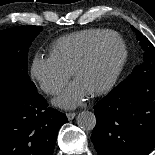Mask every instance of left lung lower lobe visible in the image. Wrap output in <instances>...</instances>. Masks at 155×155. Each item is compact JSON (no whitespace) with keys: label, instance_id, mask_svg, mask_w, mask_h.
I'll list each match as a JSON object with an SVG mask.
<instances>
[{"label":"left lung lower lobe","instance_id":"0a47b994","mask_svg":"<svg viewBox=\"0 0 155 155\" xmlns=\"http://www.w3.org/2000/svg\"><path fill=\"white\" fill-rule=\"evenodd\" d=\"M100 155H148L155 147V69L125 79L94 106Z\"/></svg>","mask_w":155,"mask_h":155}]
</instances>
